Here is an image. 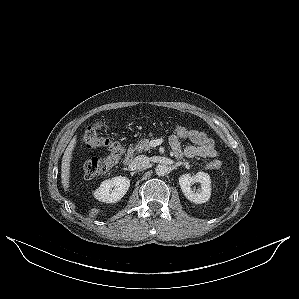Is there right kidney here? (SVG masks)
Here are the masks:
<instances>
[{
	"label": "right kidney",
	"mask_w": 299,
	"mask_h": 299,
	"mask_svg": "<svg viewBox=\"0 0 299 299\" xmlns=\"http://www.w3.org/2000/svg\"><path fill=\"white\" fill-rule=\"evenodd\" d=\"M129 187L130 180L127 177H114L103 181L94 192V197L101 202L116 203L126 194Z\"/></svg>",
	"instance_id": "right-kidney-1"
}]
</instances>
